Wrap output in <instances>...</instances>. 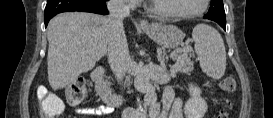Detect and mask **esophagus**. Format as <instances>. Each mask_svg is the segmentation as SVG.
I'll list each match as a JSON object with an SVG mask.
<instances>
[{"label": "esophagus", "mask_w": 273, "mask_h": 118, "mask_svg": "<svg viewBox=\"0 0 273 118\" xmlns=\"http://www.w3.org/2000/svg\"><path fill=\"white\" fill-rule=\"evenodd\" d=\"M140 26H141L142 28H149V27H150L148 21H146V20H141V21H140Z\"/></svg>", "instance_id": "34e87169"}]
</instances>
